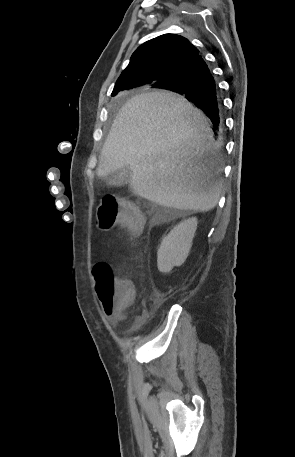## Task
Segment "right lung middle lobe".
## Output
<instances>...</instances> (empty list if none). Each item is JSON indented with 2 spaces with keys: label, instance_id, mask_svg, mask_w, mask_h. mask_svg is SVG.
I'll list each match as a JSON object with an SVG mask.
<instances>
[{
  "label": "right lung middle lobe",
  "instance_id": "1",
  "mask_svg": "<svg viewBox=\"0 0 295 457\" xmlns=\"http://www.w3.org/2000/svg\"><path fill=\"white\" fill-rule=\"evenodd\" d=\"M141 84H137V85H133L132 87H137V86H140ZM155 88V87H154ZM116 95V92H113L112 93V96Z\"/></svg>",
  "mask_w": 295,
  "mask_h": 457
}]
</instances>
